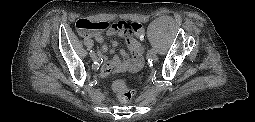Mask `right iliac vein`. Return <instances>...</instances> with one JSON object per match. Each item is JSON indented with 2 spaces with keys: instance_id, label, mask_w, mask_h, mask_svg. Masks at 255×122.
Returning <instances> with one entry per match:
<instances>
[{
  "instance_id": "obj_1",
  "label": "right iliac vein",
  "mask_w": 255,
  "mask_h": 122,
  "mask_svg": "<svg viewBox=\"0 0 255 122\" xmlns=\"http://www.w3.org/2000/svg\"><path fill=\"white\" fill-rule=\"evenodd\" d=\"M91 58H92L93 61H97L98 60L97 54L92 55Z\"/></svg>"
}]
</instances>
